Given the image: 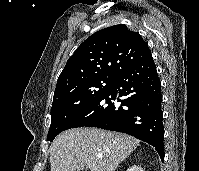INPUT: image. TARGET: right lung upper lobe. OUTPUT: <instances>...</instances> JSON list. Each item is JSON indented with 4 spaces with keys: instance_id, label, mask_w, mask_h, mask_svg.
Instances as JSON below:
<instances>
[{
    "instance_id": "1",
    "label": "right lung upper lobe",
    "mask_w": 199,
    "mask_h": 171,
    "mask_svg": "<svg viewBox=\"0 0 199 171\" xmlns=\"http://www.w3.org/2000/svg\"><path fill=\"white\" fill-rule=\"evenodd\" d=\"M151 56L148 44L139 33L128 30L124 24L97 31L68 59L58 78L54 100L88 80L116 77Z\"/></svg>"
}]
</instances>
